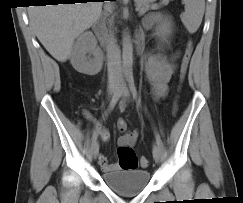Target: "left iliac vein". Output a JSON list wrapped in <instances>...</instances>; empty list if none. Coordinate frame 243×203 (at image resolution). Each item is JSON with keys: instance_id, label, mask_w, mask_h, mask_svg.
<instances>
[{"instance_id": "4c4485c4", "label": "left iliac vein", "mask_w": 243, "mask_h": 203, "mask_svg": "<svg viewBox=\"0 0 243 203\" xmlns=\"http://www.w3.org/2000/svg\"><path fill=\"white\" fill-rule=\"evenodd\" d=\"M120 89H118L117 91H119ZM121 96L123 97V102H125L126 98L129 97V91L127 89V87H123L121 90ZM153 157L155 159L156 162H160L161 158H162V149L161 146L158 145L157 143L153 145Z\"/></svg>"}]
</instances>
